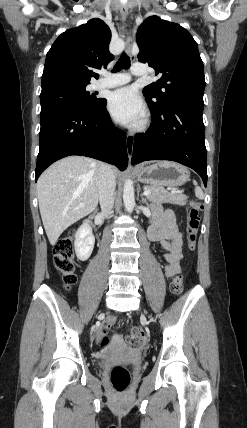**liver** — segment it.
Segmentation results:
<instances>
[{
    "label": "liver",
    "instance_id": "liver-1",
    "mask_svg": "<svg viewBox=\"0 0 247 428\" xmlns=\"http://www.w3.org/2000/svg\"><path fill=\"white\" fill-rule=\"evenodd\" d=\"M100 165L88 157L70 156L51 165L39 177V209L51 245L69 226L96 209ZM113 170L116 176L118 170Z\"/></svg>",
    "mask_w": 247,
    "mask_h": 428
}]
</instances>
